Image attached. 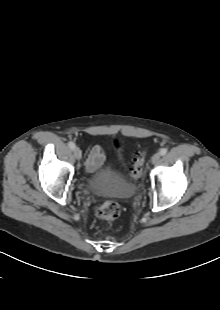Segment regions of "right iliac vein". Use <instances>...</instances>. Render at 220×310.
<instances>
[{"label": "right iliac vein", "mask_w": 220, "mask_h": 310, "mask_svg": "<svg viewBox=\"0 0 220 310\" xmlns=\"http://www.w3.org/2000/svg\"><path fill=\"white\" fill-rule=\"evenodd\" d=\"M73 154H74V157H75L77 160H80L81 157H82V152H81L80 148H78V147H75V148L73 149Z\"/></svg>", "instance_id": "1"}]
</instances>
